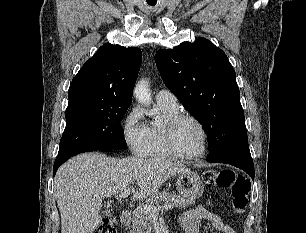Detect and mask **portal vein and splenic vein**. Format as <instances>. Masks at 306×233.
Wrapping results in <instances>:
<instances>
[{"mask_svg":"<svg viewBox=\"0 0 306 233\" xmlns=\"http://www.w3.org/2000/svg\"><path fill=\"white\" fill-rule=\"evenodd\" d=\"M129 194H130V188L128 187V188H125L124 191L121 192L118 197L120 199L126 198ZM138 208H141L145 212L151 214L152 216H155V215H158V212L160 210H170V209H172L173 208V204L168 203V204L163 205L162 207H155V206L150 205V204H140L139 203Z\"/></svg>","mask_w":306,"mask_h":233,"instance_id":"1","label":"portal vein and splenic vein"}]
</instances>
